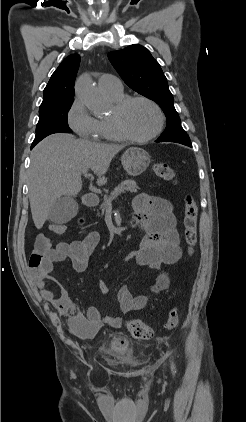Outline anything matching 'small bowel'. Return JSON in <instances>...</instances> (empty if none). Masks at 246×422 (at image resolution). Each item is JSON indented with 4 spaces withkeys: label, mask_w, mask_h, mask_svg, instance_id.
<instances>
[{
    "label": "small bowel",
    "mask_w": 246,
    "mask_h": 422,
    "mask_svg": "<svg viewBox=\"0 0 246 422\" xmlns=\"http://www.w3.org/2000/svg\"><path fill=\"white\" fill-rule=\"evenodd\" d=\"M133 208V220L142 233V239L139 248L130 252L122 261L133 260L138 266L155 270L157 277L149 285V289L153 292L165 290L169 287L170 280L163 266L174 264L182 257L173 205L166 198L141 193L134 199ZM99 240L98 232L91 231L82 240L57 243L49 252L50 268L46 276L35 279L41 296L61 315L68 316L72 332L84 338L94 336L104 325L115 329L120 328L122 317L104 315L92 306L83 313L71 300L67 290L62 288L59 295H55L47 287L46 279L49 278L54 263L69 261L75 271L86 270L90 263V256ZM98 288L103 295L107 294L108 287L102 278L98 280ZM117 300L123 314L142 310L147 303L145 296L133 295L127 286L118 289Z\"/></svg>",
    "instance_id": "small-bowel-1"
}]
</instances>
